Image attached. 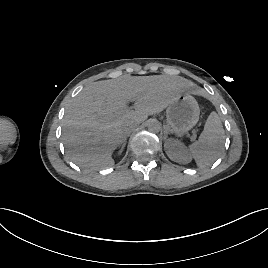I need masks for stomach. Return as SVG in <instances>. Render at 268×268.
<instances>
[{
  "instance_id": "stomach-1",
  "label": "stomach",
  "mask_w": 268,
  "mask_h": 268,
  "mask_svg": "<svg viewBox=\"0 0 268 268\" xmlns=\"http://www.w3.org/2000/svg\"><path fill=\"white\" fill-rule=\"evenodd\" d=\"M200 109L189 93L180 94L167 107L166 118L171 132L181 137L199 121Z\"/></svg>"
}]
</instances>
